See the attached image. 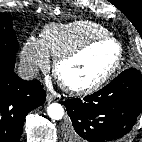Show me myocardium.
Returning a JSON list of instances; mask_svg holds the SVG:
<instances>
[{"mask_svg":"<svg viewBox=\"0 0 142 142\" xmlns=\"http://www.w3.org/2000/svg\"><path fill=\"white\" fill-rule=\"evenodd\" d=\"M103 42H112L117 47V56L115 58V61L111 65V67L100 78H98L97 80H95L94 82L88 85L74 86L67 83L61 75L62 65L81 56L86 51L94 47L95 45H98ZM122 59H123V47L121 43L116 38L110 35H103V36L92 38L84 42L80 46L76 47L75 49L57 57L54 61L53 73L56 79L61 84V86L66 91L75 95H88L99 90L114 76V74L118 71L119 67L121 66Z\"/></svg>","mask_w":142,"mask_h":142,"instance_id":"obj_1","label":"myocardium"}]
</instances>
